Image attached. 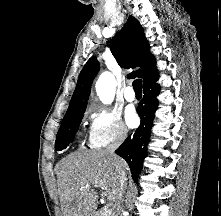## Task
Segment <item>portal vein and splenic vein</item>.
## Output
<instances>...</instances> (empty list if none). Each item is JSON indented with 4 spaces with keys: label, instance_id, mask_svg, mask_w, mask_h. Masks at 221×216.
<instances>
[{
    "label": "portal vein and splenic vein",
    "instance_id": "obj_1",
    "mask_svg": "<svg viewBox=\"0 0 221 216\" xmlns=\"http://www.w3.org/2000/svg\"><path fill=\"white\" fill-rule=\"evenodd\" d=\"M98 185L101 186L102 183H99ZM105 195H106L107 199H109V200L114 199V191L106 190Z\"/></svg>",
    "mask_w": 221,
    "mask_h": 216
}]
</instances>
